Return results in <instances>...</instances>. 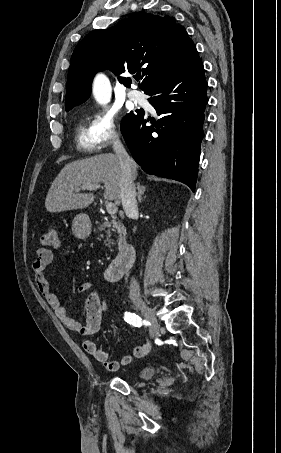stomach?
<instances>
[{"label":"stomach","instance_id":"1","mask_svg":"<svg viewBox=\"0 0 281 453\" xmlns=\"http://www.w3.org/2000/svg\"><path fill=\"white\" fill-rule=\"evenodd\" d=\"M72 231L75 237H79V239L89 237L91 233V222L88 214H76L72 224Z\"/></svg>","mask_w":281,"mask_h":453}]
</instances>
